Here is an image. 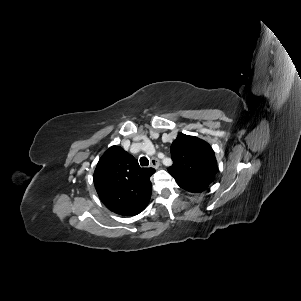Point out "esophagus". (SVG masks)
Masks as SVG:
<instances>
[{
	"mask_svg": "<svg viewBox=\"0 0 301 301\" xmlns=\"http://www.w3.org/2000/svg\"><path fill=\"white\" fill-rule=\"evenodd\" d=\"M159 165H160V161L156 157H153L150 161V166L153 168H158Z\"/></svg>",
	"mask_w": 301,
	"mask_h": 301,
	"instance_id": "34e87169",
	"label": "esophagus"
}]
</instances>
